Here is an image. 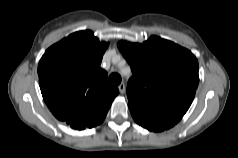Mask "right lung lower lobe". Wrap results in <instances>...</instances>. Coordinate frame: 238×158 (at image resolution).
Wrapping results in <instances>:
<instances>
[{"instance_id": "right-lung-lower-lobe-1", "label": "right lung lower lobe", "mask_w": 238, "mask_h": 158, "mask_svg": "<svg viewBox=\"0 0 238 158\" xmlns=\"http://www.w3.org/2000/svg\"><path fill=\"white\" fill-rule=\"evenodd\" d=\"M106 115L97 117V118H89L87 120H79L76 122H71V123H67L71 126V128L73 129H77V130H83L85 128H92L96 125H99L103 122V120L105 119Z\"/></svg>"}]
</instances>
